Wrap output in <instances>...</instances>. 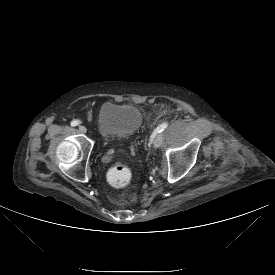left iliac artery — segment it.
<instances>
[{"mask_svg": "<svg viewBox=\"0 0 275 275\" xmlns=\"http://www.w3.org/2000/svg\"><path fill=\"white\" fill-rule=\"evenodd\" d=\"M168 127V123H163L161 125H159L153 132L152 136L154 138V136H156L158 133H161L162 131H164V129H166Z\"/></svg>", "mask_w": 275, "mask_h": 275, "instance_id": "44dca946", "label": "left iliac artery"}]
</instances>
